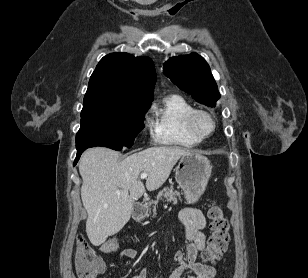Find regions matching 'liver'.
I'll list each match as a JSON object with an SVG mask.
<instances>
[{"label":"liver","mask_w":308,"mask_h":278,"mask_svg":"<svg viewBox=\"0 0 308 278\" xmlns=\"http://www.w3.org/2000/svg\"><path fill=\"white\" fill-rule=\"evenodd\" d=\"M187 154L188 150L179 147H151L119 161V153L108 148L85 151L79 172L90 242L99 246L118 233L129 221L133 203L143 195L145 187L148 191L161 187L177 161ZM141 173L148 174L145 186L138 179ZM117 190L121 193L117 194Z\"/></svg>","instance_id":"obj_1"}]
</instances>
